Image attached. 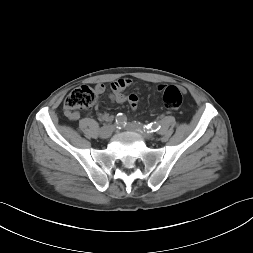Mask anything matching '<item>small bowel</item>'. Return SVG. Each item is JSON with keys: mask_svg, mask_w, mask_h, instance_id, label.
<instances>
[{"mask_svg": "<svg viewBox=\"0 0 253 253\" xmlns=\"http://www.w3.org/2000/svg\"><path fill=\"white\" fill-rule=\"evenodd\" d=\"M131 83L132 81L129 78H120L115 82H113L111 85V94H110L111 99L116 103L128 102L132 108H136L138 103V97L135 94L125 95L123 93V90L129 87ZM164 87H165L164 85H159L158 90L162 91ZM95 91L97 94H102L105 91V86L103 84H97L95 86ZM184 110L190 111L191 105L185 104ZM65 115L70 120H77L79 118V113L76 111L66 110ZM100 118L102 120L108 121L111 119V116L108 113L102 112L100 113Z\"/></svg>", "mask_w": 253, "mask_h": 253, "instance_id": "small-bowel-1", "label": "small bowel"}]
</instances>
